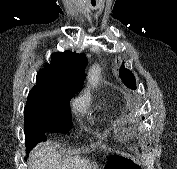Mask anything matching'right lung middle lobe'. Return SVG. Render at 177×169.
Here are the masks:
<instances>
[{
  "label": "right lung middle lobe",
  "mask_w": 177,
  "mask_h": 169,
  "mask_svg": "<svg viewBox=\"0 0 177 169\" xmlns=\"http://www.w3.org/2000/svg\"><path fill=\"white\" fill-rule=\"evenodd\" d=\"M70 100L54 103L26 104L24 110L25 130L32 132H69L72 127L69 114Z\"/></svg>",
  "instance_id": "right-lung-middle-lobe-1"
}]
</instances>
